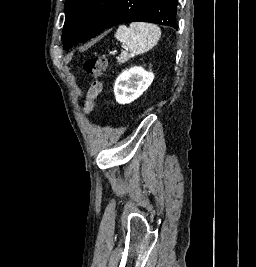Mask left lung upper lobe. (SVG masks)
<instances>
[{
    "mask_svg": "<svg viewBox=\"0 0 256 267\" xmlns=\"http://www.w3.org/2000/svg\"><path fill=\"white\" fill-rule=\"evenodd\" d=\"M175 0H66L63 45L84 42L105 28L135 21L177 29Z\"/></svg>",
    "mask_w": 256,
    "mask_h": 267,
    "instance_id": "obj_1",
    "label": "left lung upper lobe"
}]
</instances>
